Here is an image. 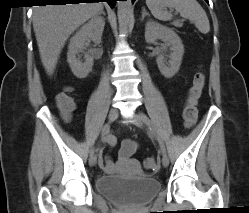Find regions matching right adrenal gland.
Returning <instances> with one entry per match:
<instances>
[{
    "label": "right adrenal gland",
    "instance_id": "1",
    "mask_svg": "<svg viewBox=\"0 0 249 213\" xmlns=\"http://www.w3.org/2000/svg\"><path fill=\"white\" fill-rule=\"evenodd\" d=\"M101 14H103V16L106 15V14H105V11H104L103 9L98 13V15H101Z\"/></svg>",
    "mask_w": 249,
    "mask_h": 213
}]
</instances>
